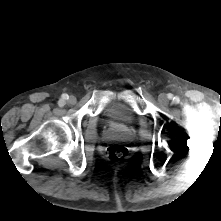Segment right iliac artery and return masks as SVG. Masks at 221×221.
<instances>
[{"mask_svg":"<svg viewBox=\"0 0 221 221\" xmlns=\"http://www.w3.org/2000/svg\"><path fill=\"white\" fill-rule=\"evenodd\" d=\"M68 99V95L67 94H63L62 98L59 100L58 104L60 107L64 106L65 104V100Z\"/></svg>","mask_w":221,"mask_h":221,"instance_id":"right-iliac-artery-1","label":"right iliac artery"}]
</instances>
